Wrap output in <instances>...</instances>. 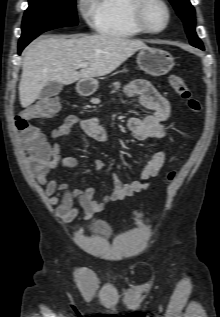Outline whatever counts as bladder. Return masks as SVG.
<instances>
[{
  "instance_id": "obj_1",
  "label": "bladder",
  "mask_w": 220,
  "mask_h": 317,
  "mask_svg": "<svg viewBox=\"0 0 220 317\" xmlns=\"http://www.w3.org/2000/svg\"><path fill=\"white\" fill-rule=\"evenodd\" d=\"M110 231V226L105 221L101 220L93 222L86 230L87 234L92 236H104L109 234Z\"/></svg>"
}]
</instances>
